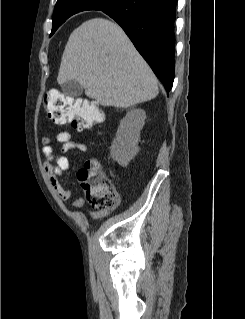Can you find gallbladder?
Instances as JSON below:
<instances>
[{"instance_id": "gallbladder-1", "label": "gallbladder", "mask_w": 245, "mask_h": 319, "mask_svg": "<svg viewBox=\"0 0 245 319\" xmlns=\"http://www.w3.org/2000/svg\"><path fill=\"white\" fill-rule=\"evenodd\" d=\"M62 90L65 95L77 98L83 94V86L76 80H70L62 84Z\"/></svg>"}]
</instances>
